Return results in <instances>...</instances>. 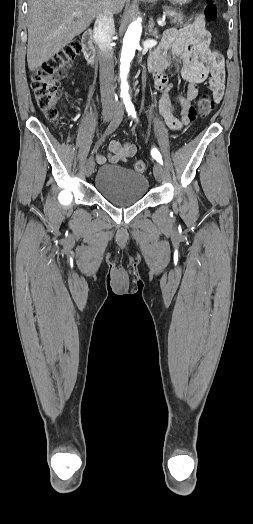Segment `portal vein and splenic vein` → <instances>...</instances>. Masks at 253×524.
<instances>
[{"label": "portal vein and splenic vein", "mask_w": 253, "mask_h": 524, "mask_svg": "<svg viewBox=\"0 0 253 524\" xmlns=\"http://www.w3.org/2000/svg\"><path fill=\"white\" fill-rule=\"evenodd\" d=\"M74 14L79 15L80 12L76 11ZM157 22H158V25H160V26H164L165 25V20L164 19H159Z\"/></svg>", "instance_id": "obj_1"}]
</instances>
